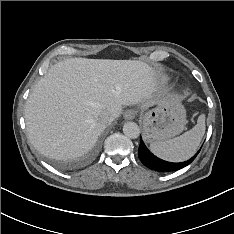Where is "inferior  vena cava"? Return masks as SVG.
Listing matches in <instances>:
<instances>
[{"mask_svg": "<svg viewBox=\"0 0 234 234\" xmlns=\"http://www.w3.org/2000/svg\"><path fill=\"white\" fill-rule=\"evenodd\" d=\"M116 117H117V114H116V113L104 112V113L99 117V121H100L103 125H108V124H110Z\"/></svg>", "mask_w": 234, "mask_h": 234, "instance_id": "inferior-vena-cava-1", "label": "inferior vena cava"}]
</instances>
